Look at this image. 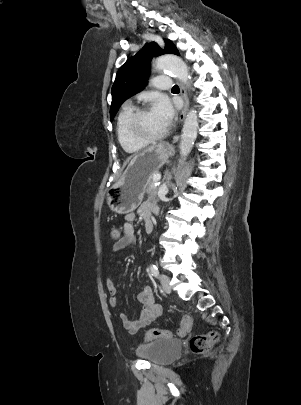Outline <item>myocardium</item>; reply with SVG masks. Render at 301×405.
Instances as JSON below:
<instances>
[{
	"label": "myocardium",
	"instance_id": "f54148a6",
	"mask_svg": "<svg viewBox=\"0 0 301 405\" xmlns=\"http://www.w3.org/2000/svg\"><path fill=\"white\" fill-rule=\"evenodd\" d=\"M150 109L147 107H142L138 108L133 111L131 114L129 121H128V132L130 136L143 144H149V143H154L157 142L161 139H163L170 131V126H167L161 133L154 135V136H147L143 133L140 132L139 130V123L140 119L145 114L147 111Z\"/></svg>",
	"mask_w": 301,
	"mask_h": 405
}]
</instances>
